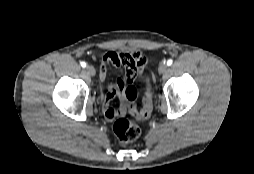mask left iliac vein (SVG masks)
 <instances>
[{"instance_id": "obj_1", "label": "left iliac vein", "mask_w": 254, "mask_h": 174, "mask_svg": "<svg viewBox=\"0 0 254 174\" xmlns=\"http://www.w3.org/2000/svg\"><path fill=\"white\" fill-rule=\"evenodd\" d=\"M167 71V65L166 64H160L159 68H158V72L160 74H164Z\"/></svg>"}]
</instances>
